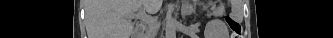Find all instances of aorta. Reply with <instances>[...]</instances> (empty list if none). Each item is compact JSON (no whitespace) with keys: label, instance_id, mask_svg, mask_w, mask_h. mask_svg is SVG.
<instances>
[{"label":"aorta","instance_id":"762f6f07","mask_svg":"<svg viewBox=\"0 0 333 38\" xmlns=\"http://www.w3.org/2000/svg\"><path fill=\"white\" fill-rule=\"evenodd\" d=\"M165 37L176 38V28L174 26L171 16H168L166 20Z\"/></svg>","mask_w":333,"mask_h":38}]
</instances>
